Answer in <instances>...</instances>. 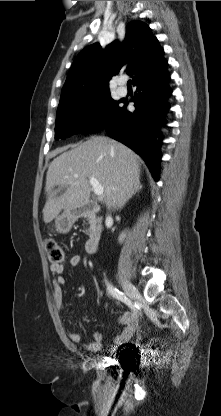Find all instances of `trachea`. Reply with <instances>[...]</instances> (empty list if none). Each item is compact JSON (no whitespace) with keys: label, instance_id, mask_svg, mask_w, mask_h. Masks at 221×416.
I'll return each mask as SVG.
<instances>
[{"label":"trachea","instance_id":"obj_1","mask_svg":"<svg viewBox=\"0 0 221 416\" xmlns=\"http://www.w3.org/2000/svg\"><path fill=\"white\" fill-rule=\"evenodd\" d=\"M127 86H128V87H131V80H129V81L127 82Z\"/></svg>","mask_w":221,"mask_h":416}]
</instances>
